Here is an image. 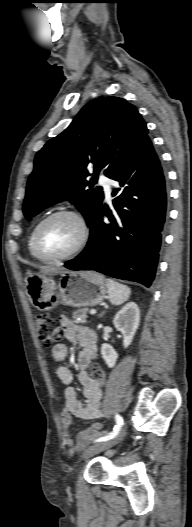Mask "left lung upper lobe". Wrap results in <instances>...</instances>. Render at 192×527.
I'll use <instances>...</instances> for the list:
<instances>
[{
	"label": "left lung upper lobe",
	"mask_w": 192,
	"mask_h": 527,
	"mask_svg": "<svg viewBox=\"0 0 192 527\" xmlns=\"http://www.w3.org/2000/svg\"><path fill=\"white\" fill-rule=\"evenodd\" d=\"M147 133L135 106L124 99L109 96L89 102L64 132L36 154L23 204L25 217L30 220L46 207L69 200L90 227L101 207L103 191L101 187L92 189L86 180L87 165L94 164V178L101 169L107 177H115L149 140Z\"/></svg>",
	"instance_id": "left-lung-upper-lobe-1"
}]
</instances>
